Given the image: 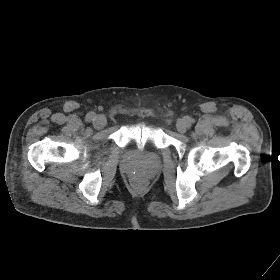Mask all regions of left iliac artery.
<instances>
[{"mask_svg": "<svg viewBox=\"0 0 280 280\" xmlns=\"http://www.w3.org/2000/svg\"><path fill=\"white\" fill-rule=\"evenodd\" d=\"M184 121L187 123V125H191V123L193 122V119L190 117H185Z\"/></svg>", "mask_w": 280, "mask_h": 280, "instance_id": "1", "label": "left iliac artery"}]
</instances>
